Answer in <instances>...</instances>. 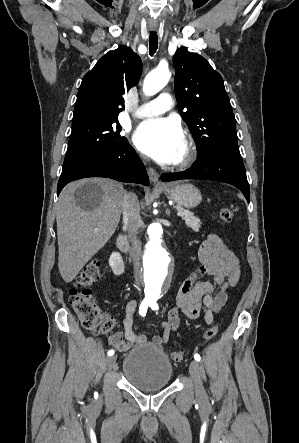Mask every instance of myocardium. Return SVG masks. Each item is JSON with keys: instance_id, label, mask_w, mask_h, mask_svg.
<instances>
[{"instance_id": "1", "label": "myocardium", "mask_w": 299, "mask_h": 443, "mask_svg": "<svg viewBox=\"0 0 299 443\" xmlns=\"http://www.w3.org/2000/svg\"><path fill=\"white\" fill-rule=\"evenodd\" d=\"M186 151L185 154L176 162L171 163V167L174 169H185L189 167L194 161L197 153V148L194 139L187 135L185 137Z\"/></svg>"}]
</instances>
